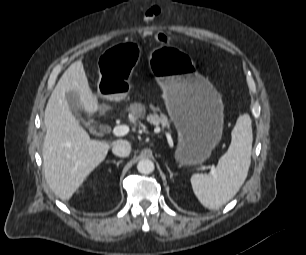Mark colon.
<instances>
[{
  "label": "colon",
  "mask_w": 306,
  "mask_h": 255,
  "mask_svg": "<svg viewBox=\"0 0 306 255\" xmlns=\"http://www.w3.org/2000/svg\"><path fill=\"white\" fill-rule=\"evenodd\" d=\"M160 14H161V8L157 5L150 6V7L146 8L142 11V15H143L144 19H146L148 21H151V20L155 19ZM150 35H152V32L147 33V36H150ZM155 35L157 36V38L160 41H166V37L163 36L161 33H156Z\"/></svg>",
  "instance_id": "obj_1"
}]
</instances>
